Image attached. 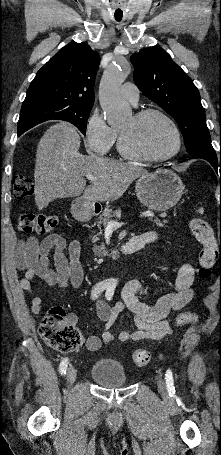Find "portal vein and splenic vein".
Returning <instances> with one entry per match:
<instances>
[{
    "label": "portal vein and splenic vein",
    "instance_id": "18ae733b",
    "mask_svg": "<svg viewBox=\"0 0 221 455\" xmlns=\"http://www.w3.org/2000/svg\"><path fill=\"white\" fill-rule=\"evenodd\" d=\"M86 178L89 180V181H97L98 178L95 177L94 175L92 174H87L86 175ZM154 214L153 213H150V212H144L140 215V217H153ZM125 223L123 222H118V221H115V220H109L108 223H107V227H110V228H114V229H117V228H120L122 225H124Z\"/></svg>",
    "mask_w": 221,
    "mask_h": 455
}]
</instances>
